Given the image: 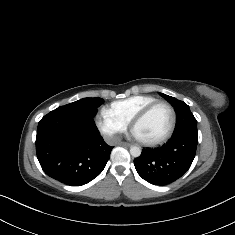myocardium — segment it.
<instances>
[{
    "label": "myocardium",
    "mask_w": 235,
    "mask_h": 235,
    "mask_svg": "<svg viewBox=\"0 0 235 235\" xmlns=\"http://www.w3.org/2000/svg\"><path fill=\"white\" fill-rule=\"evenodd\" d=\"M160 106H165L170 111V114H171V123H170L169 130H168V132L164 136H162V137H160L158 139L152 140V141H141L139 139H136L138 141V143H140L143 146L154 147V146L160 145V144L168 141L172 137V135H173V133L175 131L176 122H177V116H176L175 108L169 102H167V101L158 100L156 102H153V103L149 104L142 111H140L137 115L134 116V118L132 119V121L130 123V128H131L132 133L134 131V127L139 122H141L144 119H146L153 110H155L156 108H158Z\"/></svg>",
    "instance_id": "obj_1"
}]
</instances>
